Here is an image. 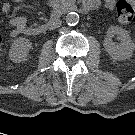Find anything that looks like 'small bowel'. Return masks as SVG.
<instances>
[{
	"instance_id": "c3829d8e",
	"label": "small bowel",
	"mask_w": 135,
	"mask_h": 135,
	"mask_svg": "<svg viewBox=\"0 0 135 135\" xmlns=\"http://www.w3.org/2000/svg\"><path fill=\"white\" fill-rule=\"evenodd\" d=\"M13 2H21L23 0H12ZM60 0H48V2L52 5L58 3ZM87 2L91 3L92 8L96 7L97 5L101 4L103 2L104 6L108 9H112L115 5V0H86ZM2 11L8 12L11 8V5L9 2H5L2 4ZM10 25L12 27L10 31V35L12 37H16L22 33H24L27 30V20L25 17L18 16L11 20Z\"/></svg>"
}]
</instances>
